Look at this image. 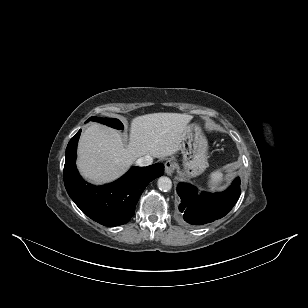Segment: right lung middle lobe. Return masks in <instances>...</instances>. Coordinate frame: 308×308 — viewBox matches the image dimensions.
I'll list each match as a JSON object with an SVG mask.
<instances>
[{"mask_svg": "<svg viewBox=\"0 0 308 308\" xmlns=\"http://www.w3.org/2000/svg\"><path fill=\"white\" fill-rule=\"evenodd\" d=\"M89 120L96 121L105 125H108L110 127H113L118 130H123V124L121 121L115 118H99V117H91Z\"/></svg>", "mask_w": 308, "mask_h": 308, "instance_id": "right-lung-middle-lobe-1", "label": "right lung middle lobe"}]
</instances>
